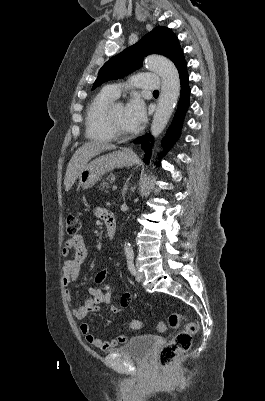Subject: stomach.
Instances as JSON below:
<instances>
[{
  "instance_id": "obj_1",
  "label": "stomach",
  "mask_w": 265,
  "mask_h": 401,
  "mask_svg": "<svg viewBox=\"0 0 265 401\" xmlns=\"http://www.w3.org/2000/svg\"><path fill=\"white\" fill-rule=\"evenodd\" d=\"M137 160H139L138 156L130 154L128 148L102 154V156L87 162L79 174V184L82 188H89L96 184L97 180H100L106 172H110L113 168H121V166H132Z\"/></svg>"
}]
</instances>
